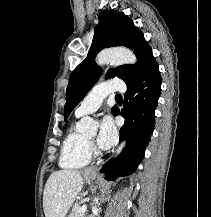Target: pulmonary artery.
Masks as SVG:
<instances>
[{"label": "pulmonary artery", "mask_w": 211, "mask_h": 217, "mask_svg": "<svg viewBox=\"0 0 211 217\" xmlns=\"http://www.w3.org/2000/svg\"><path fill=\"white\" fill-rule=\"evenodd\" d=\"M125 90V83L117 78L96 84L76 109V116L94 113L102 105L106 96Z\"/></svg>", "instance_id": "e3ab8cb5"}]
</instances>
